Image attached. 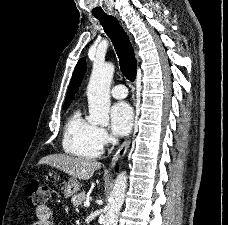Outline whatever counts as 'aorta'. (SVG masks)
<instances>
[{
    "mask_svg": "<svg viewBox=\"0 0 228 225\" xmlns=\"http://www.w3.org/2000/svg\"><path fill=\"white\" fill-rule=\"evenodd\" d=\"M114 74L112 62H93L90 80L87 86V98L90 125L107 127L110 123V86ZM127 189L126 171L119 173L115 179L112 195L109 199L104 225H117L118 213L124 203V195Z\"/></svg>",
    "mask_w": 228,
    "mask_h": 225,
    "instance_id": "762f6f07",
    "label": "aorta"
}]
</instances>
